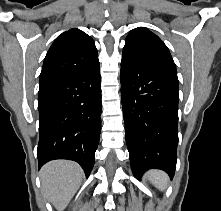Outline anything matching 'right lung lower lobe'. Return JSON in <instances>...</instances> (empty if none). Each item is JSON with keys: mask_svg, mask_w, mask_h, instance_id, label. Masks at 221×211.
I'll use <instances>...</instances> for the list:
<instances>
[{"mask_svg": "<svg viewBox=\"0 0 221 211\" xmlns=\"http://www.w3.org/2000/svg\"><path fill=\"white\" fill-rule=\"evenodd\" d=\"M100 83L98 65L40 85L39 168L50 160L68 159L90 175L101 130Z\"/></svg>", "mask_w": 221, "mask_h": 211, "instance_id": "right-lung-lower-lobe-1", "label": "right lung lower lobe"}]
</instances>
